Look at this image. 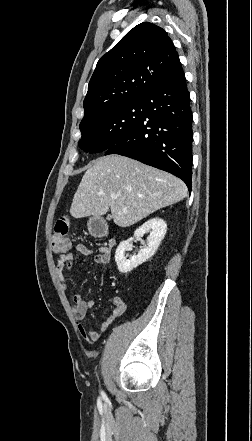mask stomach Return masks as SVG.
<instances>
[{
    "label": "stomach",
    "mask_w": 252,
    "mask_h": 441,
    "mask_svg": "<svg viewBox=\"0 0 252 441\" xmlns=\"http://www.w3.org/2000/svg\"><path fill=\"white\" fill-rule=\"evenodd\" d=\"M91 222H92V219H90V221H89V226H90Z\"/></svg>",
    "instance_id": "1"
}]
</instances>
